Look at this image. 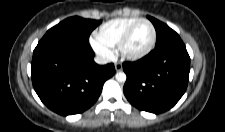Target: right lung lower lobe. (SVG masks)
<instances>
[{
    "instance_id": "right-lung-lower-lobe-1",
    "label": "right lung lower lobe",
    "mask_w": 225,
    "mask_h": 132,
    "mask_svg": "<svg viewBox=\"0 0 225 132\" xmlns=\"http://www.w3.org/2000/svg\"><path fill=\"white\" fill-rule=\"evenodd\" d=\"M89 42L41 39L33 52L31 78L41 101L60 115L82 113L101 94L115 74L113 64L98 65Z\"/></svg>"
}]
</instances>
